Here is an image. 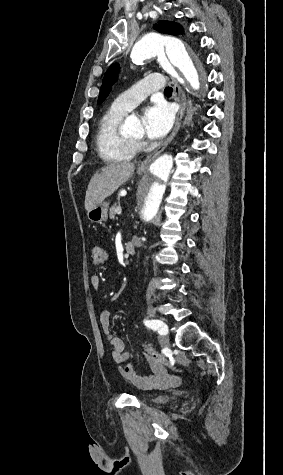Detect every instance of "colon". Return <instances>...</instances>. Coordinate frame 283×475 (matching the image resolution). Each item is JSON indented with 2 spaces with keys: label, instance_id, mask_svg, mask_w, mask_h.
<instances>
[{
  "label": "colon",
  "instance_id": "colon-1",
  "mask_svg": "<svg viewBox=\"0 0 283 475\" xmlns=\"http://www.w3.org/2000/svg\"><path fill=\"white\" fill-rule=\"evenodd\" d=\"M90 257L92 266L99 267L102 266L108 260L109 254L100 243H93L91 245ZM141 348V361H144L146 359L149 365L155 366L158 369L162 368L163 366H166L175 371L185 370L184 368L175 364L171 359H166L160 352L152 348L146 342L141 343Z\"/></svg>",
  "mask_w": 283,
  "mask_h": 475
}]
</instances>
